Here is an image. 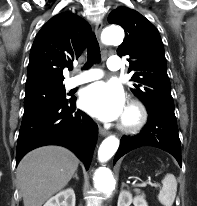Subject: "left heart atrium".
<instances>
[{
	"label": "left heart atrium",
	"mask_w": 197,
	"mask_h": 206,
	"mask_svg": "<svg viewBox=\"0 0 197 206\" xmlns=\"http://www.w3.org/2000/svg\"><path fill=\"white\" fill-rule=\"evenodd\" d=\"M80 105L98 119L110 121L124 114L125 96L116 83L96 82L82 91Z\"/></svg>",
	"instance_id": "left-heart-atrium-1"
}]
</instances>
